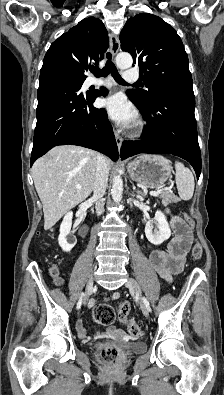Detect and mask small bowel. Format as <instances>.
Returning <instances> with one entry per match:
<instances>
[{
  "label": "small bowel",
  "instance_id": "c3829d8e",
  "mask_svg": "<svg viewBox=\"0 0 224 395\" xmlns=\"http://www.w3.org/2000/svg\"><path fill=\"white\" fill-rule=\"evenodd\" d=\"M171 226L175 231V236L170 240L167 250H150L149 262L153 269L163 278L170 281L174 275L181 272L184 266L185 255L187 254L191 236L185 222L177 216L171 218ZM62 279H57L56 284L61 285ZM119 294L115 293L112 299L118 298ZM76 329L82 338L88 337L87 330L82 321H77Z\"/></svg>",
  "mask_w": 224,
  "mask_h": 395
}]
</instances>
